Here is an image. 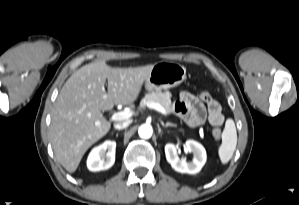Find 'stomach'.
Masks as SVG:
<instances>
[{"label": "stomach", "mask_w": 299, "mask_h": 205, "mask_svg": "<svg viewBox=\"0 0 299 205\" xmlns=\"http://www.w3.org/2000/svg\"><path fill=\"white\" fill-rule=\"evenodd\" d=\"M186 79V68L172 62H158L146 79L148 91L170 89L180 85Z\"/></svg>", "instance_id": "0dacf381"}]
</instances>
